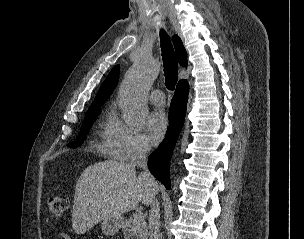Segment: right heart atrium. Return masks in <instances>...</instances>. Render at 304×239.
<instances>
[{
  "instance_id": "obj_1",
  "label": "right heart atrium",
  "mask_w": 304,
  "mask_h": 239,
  "mask_svg": "<svg viewBox=\"0 0 304 239\" xmlns=\"http://www.w3.org/2000/svg\"><path fill=\"white\" fill-rule=\"evenodd\" d=\"M102 147L108 154L121 160L143 156L149 150L143 134L118 119L112 120Z\"/></svg>"
}]
</instances>
